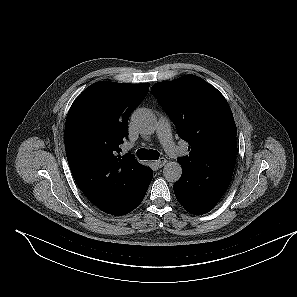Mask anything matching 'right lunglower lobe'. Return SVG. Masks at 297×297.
I'll use <instances>...</instances> for the list:
<instances>
[{
	"label": "right lung lower lobe",
	"mask_w": 297,
	"mask_h": 297,
	"mask_svg": "<svg viewBox=\"0 0 297 297\" xmlns=\"http://www.w3.org/2000/svg\"><path fill=\"white\" fill-rule=\"evenodd\" d=\"M152 177H153V172L152 170H150V173L147 176V178L141 183V185L137 188V190L134 191V193L123 204V206L111 214L115 216L125 215L131 212L132 210H134L136 207H138L146 194V191L149 187Z\"/></svg>",
	"instance_id": "1"
}]
</instances>
